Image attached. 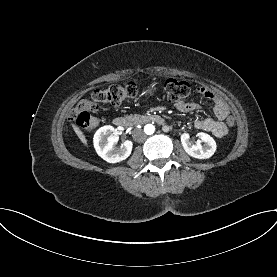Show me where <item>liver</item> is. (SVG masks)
<instances>
[{"label": "liver", "instance_id": "liver-1", "mask_svg": "<svg viewBox=\"0 0 277 277\" xmlns=\"http://www.w3.org/2000/svg\"><path fill=\"white\" fill-rule=\"evenodd\" d=\"M73 129H74L75 133L77 134V136L79 137V139L81 140V142L85 146H87V140H86L85 135L83 134V132L74 124H73Z\"/></svg>", "mask_w": 277, "mask_h": 277}]
</instances>
